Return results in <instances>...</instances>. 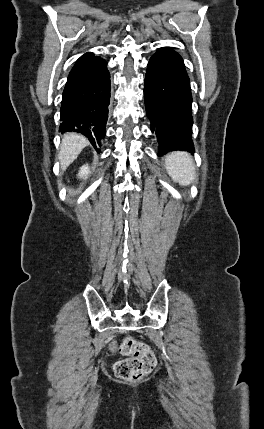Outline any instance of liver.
Here are the masks:
<instances>
[{"label":"liver","instance_id":"obj_1","mask_svg":"<svg viewBox=\"0 0 264 429\" xmlns=\"http://www.w3.org/2000/svg\"><path fill=\"white\" fill-rule=\"evenodd\" d=\"M88 144V140L81 134H64L58 156L61 170H66Z\"/></svg>","mask_w":264,"mask_h":429}]
</instances>
